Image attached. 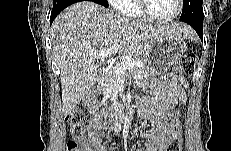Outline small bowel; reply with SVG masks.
I'll use <instances>...</instances> for the list:
<instances>
[{
	"instance_id": "c3829d8e",
	"label": "small bowel",
	"mask_w": 231,
	"mask_h": 151,
	"mask_svg": "<svg viewBox=\"0 0 231 151\" xmlns=\"http://www.w3.org/2000/svg\"><path fill=\"white\" fill-rule=\"evenodd\" d=\"M149 87L152 95L142 105L139 116L149 122L153 129L140 132L141 138L148 140L143 151H166L170 141L171 111L178 103L186 102V80L167 74L160 80L152 81ZM102 119V114H94L89 118L88 136L80 143L79 151H108L103 143L106 134Z\"/></svg>"
}]
</instances>
